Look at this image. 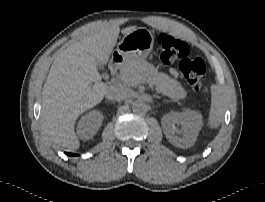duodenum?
Returning a JSON list of instances; mask_svg holds the SVG:
<instances>
[{
  "mask_svg": "<svg viewBox=\"0 0 265 202\" xmlns=\"http://www.w3.org/2000/svg\"><path fill=\"white\" fill-rule=\"evenodd\" d=\"M123 61L124 57L120 53L115 52L113 54L112 59L109 63V69L113 75L119 71V68L122 65Z\"/></svg>",
  "mask_w": 265,
  "mask_h": 202,
  "instance_id": "obj_1",
  "label": "duodenum"
}]
</instances>
